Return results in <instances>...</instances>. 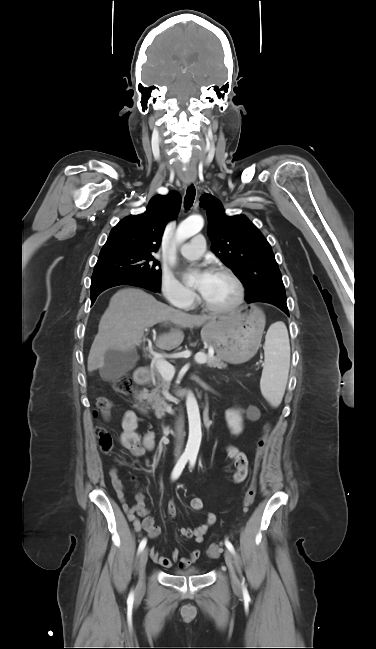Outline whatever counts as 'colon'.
<instances>
[{
	"mask_svg": "<svg viewBox=\"0 0 376 649\" xmlns=\"http://www.w3.org/2000/svg\"><path fill=\"white\" fill-rule=\"evenodd\" d=\"M113 389L117 393L121 394H128L131 392L132 389V382L131 379L128 375L124 374L119 377H117L113 381ZM96 405L98 410L105 416H109L110 411H111V402L109 401L108 398L104 396H100L96 400ZM269 430V426L265 424L263 426V432L261 436L257 440L256 444V462L257 465L260 464V461L263 457V454L265 453L266 449V443H267V432ZM97 436L99 440V445L103 451H109L113 447V438L112 435L104 428V427H97ZM256 497V483L255 481L251 484L247 492L245 493L244 499H243V512L246 513L249 508L252 506L254 500ZM222 552V547L221 544H211L207 548V555L212 558H216L220 556Z\"/></svg>",
	"mask_w": 376,
	"mask_h": 649,
	"instance_id": "1",
	"label": "colon"
}]
</instances>
